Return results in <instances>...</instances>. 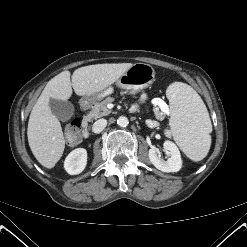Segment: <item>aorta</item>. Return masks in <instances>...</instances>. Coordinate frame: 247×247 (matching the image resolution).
Returning <instances> with one entry per match:
<instances>
[{"label":"aorta","instance_id":"762f6f07","mask_svg":"<svg viewBox=\"0 0 247 247\" xmlns=\"http://www.w3.org/2000/svg\"><path fill=\"white\" fill-rule=\"evenodd\" d=\"M117 124L120 127H126L129 124L128 119L125 116H121L119 117V119L117 120Z\"/></svg>","mask_w":247,"mask_h":247}]
</instances>
